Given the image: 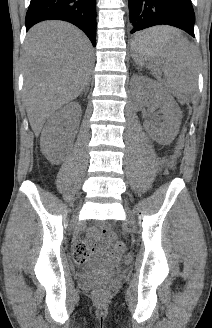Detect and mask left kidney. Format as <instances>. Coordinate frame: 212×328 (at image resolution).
<instances>
[{
  "label": "left kidney",
  "instance_id": "5707ae66",
  "mask_svg": "<svg viewBox=\"0 0 212 328\" xmlns=\"http://www.w3.org/2000/svg\"><path fill=\"white\" fill-rule=\"evenodd\" d=\"M137 92V108L143 106V99L149 98L154 105L160 108L163 123L157 127L155 124L145 122L147 132L159 143L172 141L177 134L181 122V111L173 97L155 81L144 77L135 76Z\"/></svg>",
  "mask_w": 212,
  "mask_h": 328
}]
</instances>
